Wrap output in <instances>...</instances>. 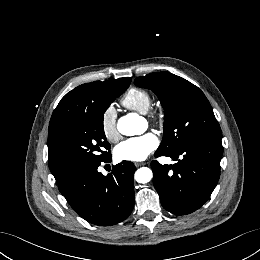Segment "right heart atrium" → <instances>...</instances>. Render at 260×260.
Masks as SVG:
<instances>
[{"label":"right heart atrium","instance_id":"1","mask_svg":"<svg viewBox=\"0 0 260 260\" xmlns=\"http://www.w3.org/2000/svg\"><path fill=\"white\" fill-rule=\"evenodd\" d=\"M116 121L117 113L114 106L106 107L101 116V128L104 136L110 141L118 138Z\"/></svg>","mask_w":260,"mask_h":260}]
</instances>
